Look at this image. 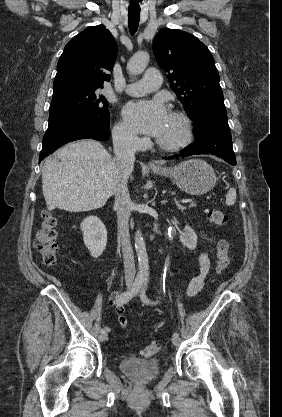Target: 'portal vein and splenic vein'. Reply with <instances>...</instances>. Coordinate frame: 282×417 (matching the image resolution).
<instances>
[{
	"label": "portal vein and splenic vein",
	"mask_w": 282,
	"mask_h": 417,
	"mask_svg": "<svg viewBox=\"0 0 282 417\" xmlns=\"http://www.w3.org/2000/svg\"><path fill=\"white\" fill-rule=\"evenodd\" d=\"M173 202L174 203H190L191 199L190 198H174Z\"/></svg>",
	"instance_id": "1"
}]
</instances>
